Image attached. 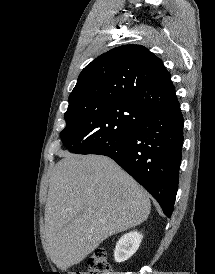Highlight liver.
Instances as JSON below:
<instances>
[{
	"mask_svg": "<svg viewBox=\"0 0 215 274\" xmlns=\"http://www.w3.org/2000/svg\"><path fill=\"white\" fill-rule=\"evenodd\" d=\"M61 156L49 180L46 249L52 262L67 270L111 235L143 223L151 205L148 193L112 159Z\"/></svg>",
	"mask_w": 215,
	"mask_h": 274,
	"instance_id": "obj_1",
	"label": "liver"
}]
</instances>
